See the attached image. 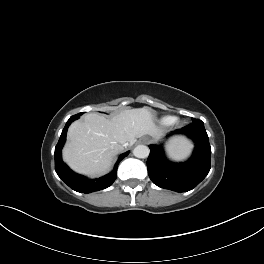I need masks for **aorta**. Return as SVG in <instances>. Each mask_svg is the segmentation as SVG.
Segmentation results:
<instances>
[{
	"label": "aorta",
	"mask_w": 264,
	"mask_h": 264,
	"mask_svg": "<svg viewBox=\"0 0 264 264\" xmlns=\"http://www.w3.org/2000/svg\"><path fill=\"white\" fill-rule=\"evenodd\" d=\"M150 150L145 145H138L133 150V155L137 158H146L149 156Z\"/></svg>",
	"instance_id": "obj_1"
}]
</instances>
